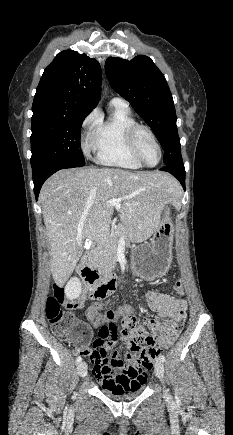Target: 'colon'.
I'll return each mask as SVG.
<instances>
[{"mask_svg":"<svg viewBox=\"0 0 233 435\" xmlns=\"http://www.w3.org/2000/svg\"><path fill=\"white\" fill-rule=\"evenodd\" d=\"M84 284L91 283L92 277L82 275ZM66 284L57 282L54 284L53 293L46 300V316L50 322L54 334L64 342H75L80 354L89 356L93 364H107L110 361L109 348L106 347L100 334L93 336L90 327L76 317L72 309L83 307L82 300L69 302L68 309H62L60 305L65 301ZM87 315L96 325L101 327L112 320L115 312L111 309L100 311L96 307H90ZM122 328L124 334L130 339V356L122 360L121 365L128 370L135 367L145 366L152 370L155 359L161 354L163 347L170 344V339L158 345L155 342V332L152 328L136 327L135 316L131 311H125L122 316ZM92 344L93 349H90ZM119 393L131 392L136 386L127 375H119L112 380Z\"/></svg>","mask_w":233,"mask_h":435,"instance_id":"colon-1","label":"colon"}]
</instances>
